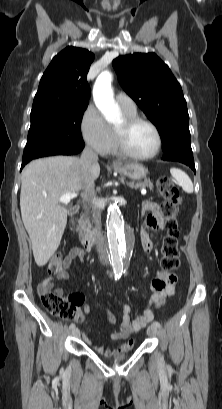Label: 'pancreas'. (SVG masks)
<instances>
[{"instance_id":"1","label":"pancreas","mask_w":222,"mask_h":409,"mask_svg":"<svg viewBox=\"0 0 222 409\" xmlns=\"http://www.w3.org/2000/svg\"><path fill=\"white\" fill-rule=\"evenodd\" d=\"M121 181H124V178H121ZM129 186H134L135 188H145V187H149L151 190L153 189V184L150 180L145 179L143 182H139L136 183L134 185V183L130 182L127 183ZM78 231H79V238L80 239H84L85 237H88L91 235V222L88 218L87 212H85L84 214L81 215L80 219L78 220Z\"/></svg>"}]
</instances>
